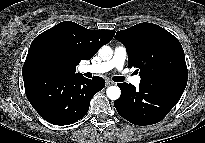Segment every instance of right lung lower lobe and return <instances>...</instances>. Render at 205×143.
<instances>
[{"mask_svg": "<svg viewBox=\"0 0 205 143\" xmlns=\"http://www.w3.org/2000/svg\"><path fill=\"white\" fill-rule=\"evenodd\" d=\"M27 98L49 123L69 125L85 116L94 94L102 90L101 77L87 79L81 74L28 65L22 70Z\"/></svg>", "mask_w": 205, "mask_h": 143, "instance_id": "obj_1", "label": "right lung lower lobe"}]
</instances>
